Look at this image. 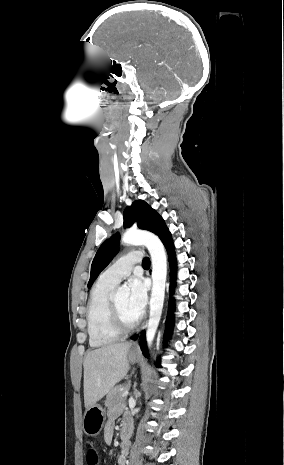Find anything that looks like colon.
Masks as SVG:
<instances>
[{"label":"colon","instance_id":"1","mask_svg":"<svg viewBox=\"0 0 284 465\" xmlns=\"http://www.w3.org/2000/svg\"><path fill=\"white\" fill-rule=\"evenodd\" d=\"M88 452L90 454H93L95 452V449L93 447H90L88 449ZM88 464L89 465H98L99 464V457L98 456H89L88 457Z\"/></svg>","mask_w":284,"mask_h":465}]
</instances>
